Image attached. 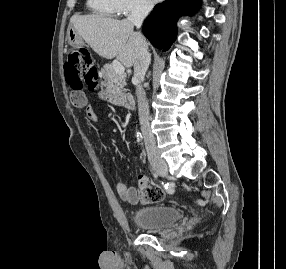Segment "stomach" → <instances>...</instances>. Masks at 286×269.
<instances>
[{"label":"stomach","mask_w":286,"mask_h":269,"mask_svg":"<svg viewBox=\"0 0 286 269\" xmlns=\"http://www.w3.org/2000/svg\"><path fill=\"white\" fill-rule=\"evenodd\" d=\"M66 39L68 43L72 46H80L83 44L82 37L74 28L68 29Z\"/></svg>","instance_id":"0dacf381"}]
</instances>
